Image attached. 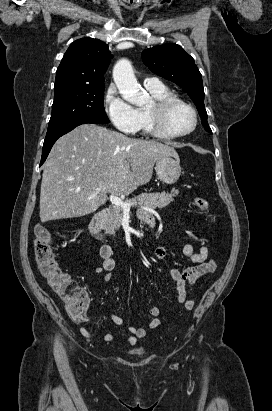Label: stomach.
<instances>
[{"instance_id":"0dacf381","label":"stomach","mask_w":272,"mask_h":411,"mask_svg":"<svg viewBox=\"0 0 272 411\" xmlns=\"http://www.w3.org/2000/svg\"><path fill=\"white\" fill-rule=\"evenodd\" d=\"M155 172L157 177L166 184L175 183L181 175V166L178 159L170 156L155 161Z\"/></svg>"}]
</instances>
